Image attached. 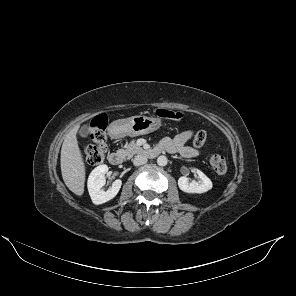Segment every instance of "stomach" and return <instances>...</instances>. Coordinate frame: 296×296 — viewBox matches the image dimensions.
I'll list each match as a JSON object with an SVG mask.
<instances>
[{
  "instance_id": "0dacf381",
  "label": "stomach",
  "mask_w": 296,
  "mask_h": 296,
  "mask_svg": "<svg viewBox=\"0 0 296 296\" xmlns=\"http://www.w3.org/2000/svg\"><path fill=\"white\" fill-rule=\"evenodd\" d=\"M161 125L160 118L143 115L119 119L113 122L115 132L121 137L148 134L159 129Z\"/></svg>"
}]
</instances>
